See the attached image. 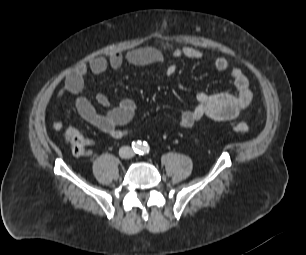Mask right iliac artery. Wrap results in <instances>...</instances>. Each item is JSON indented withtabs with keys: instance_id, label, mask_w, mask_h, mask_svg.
<instances>
[{
	"instance_id": "82829eb1",
	"label": "right iliac artery",
	"mask_w": 306,
	"mask_h": 255,
	"mask_svg": "<svg viewBox=\"0 0 306 255\" xmlns=\"http://www.w3.org/2000/svg\"><path fill=\"white\" fill-rule=\"evenodd\" d=\"M132 148L134 149L135 152H140L142 146H141V142L137 141V142H133L132 143Z\"/></svg>"
}]
</instances>
